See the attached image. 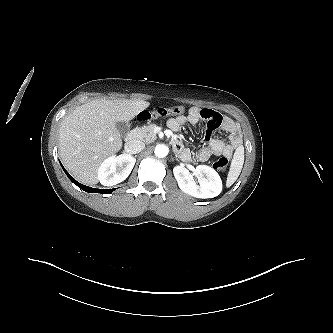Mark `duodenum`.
<instances>
[{
  "instance_id": "duodenum-1",
  "label": "duodenum",
  "mask_w": 333,
  "mask_h": 333,
  "mask_svg": "<svg viewBox=\"0 0 333 333\" xmlns=\"http://www.w3.org/2000/svg\"><path fill=\"white\" fill-rule=\"evenodd\" d=\"M140 136V131L138 128L133 129L128 133L126 136V146L128 149H131V147L137 142Z\"/></svg>"
}]
</instances>
